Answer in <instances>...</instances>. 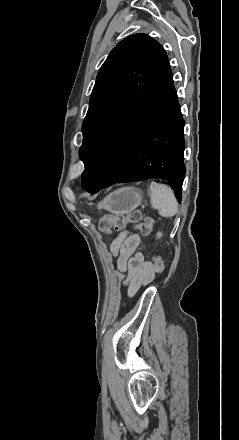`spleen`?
I'll return each instance as SVG.
<instances>
[{
  "label": "spleen",
  "mask_w": 239,
  "mask_h": 440,
  "mask_svg": "<svg viewBox=\"0 0 239 440\" xmlns=\"http://www.w3.org/2000/svg\"><path fill=\"white\" fill-rule=\"evenodd\" d=\"M150 190L152 208L159 210L160 216H163V218H172V216L177 214L178 202L170 186L151 182Z\"/></svg>",
  "instance_id": "3e777b00"
}]
</instances>
